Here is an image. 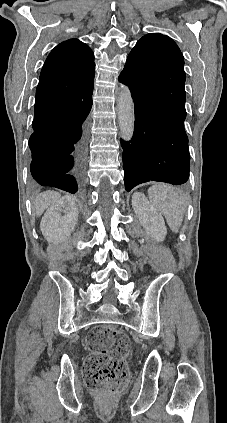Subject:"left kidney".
<instances>
[{"mask_svg":"<svg viewBox=\"0 0 227 423\" xmlns=\"http://www.w3.org/2000/svg\"><path fill=\"white\" fill-rule=\"evenodd\" d=\"M132 208L148 235L154 237L156 241H164L167 233L165 221L161 213L154 210L142 192H135L133 194Z\"/></svg>","mask_w":227,"mask_h":423,"instance_id":"5707ae66","label":"left kidney"}]
</instances>
